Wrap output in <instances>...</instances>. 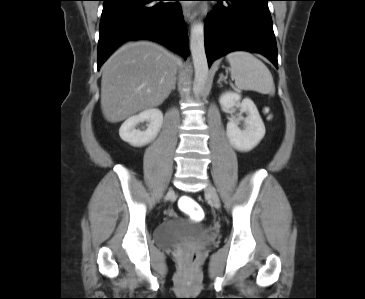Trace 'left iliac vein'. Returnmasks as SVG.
Listing matches in <instances>:
<instances>
[{"label":"left iliac vein","mask_w":365,"mask_h":299,"mask_svg":"<svg viewBox=\"0 0 365 299\" xmlns=\"http://www.w3.org/2000/svg\"><path fill=\"white\" fill-rule=\"evenodd\" d=\"M206 192L210 196L213 204L218 208L220 206V201H219V197L216 193V190L210 184H208V186L206 188Z\"/></svg>","instance_id":"1"}]
</instances>
